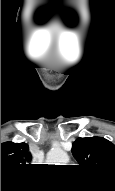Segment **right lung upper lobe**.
Instances as JSON below:
<instances>
[{"mask_svg": "<svg viewBox=\"0 0 115 191\" xmlns=\"http://www.w3.org/2000/svg\"><path fill=\"white\" fill-rule=\"evenodd\" d=\"M31 155L25 143L4 142L1 144V178L17 177L29 166Z\"/></svg>", "mask_w": 115, "mask_h": 191, "instance_id": "cb5924a9", "label": "right lung upper lobe"}]
</instances>
